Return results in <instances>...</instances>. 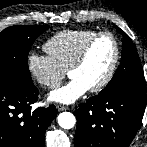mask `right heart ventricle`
<instances>
[{
    "label": "right heart ventricle",
    "mask_w": 147,
    "mask_h": 147,
    "mask_svg": "<svg viewBox=\"0 0 147 147\" xmlns=\"http://www.w3.org/2000/svg\"><path fill=\"white\" fill-rule=\"evenodd\" d=\"M95 33L97 32L90 29L63 30L50 37L44 43V49L66 71L86 41Z\"/></svg>",
    "instance_id": "right-heart-ventricle-1"
}]
</instances>
